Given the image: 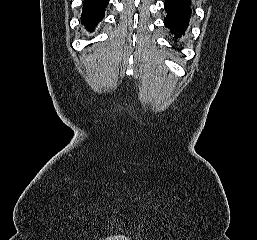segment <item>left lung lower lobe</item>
<instances>
[{
  "mask_svg": "<svg viewBox=\"0 0 257 240\" xmlns=\"http://www.w3.org/2000/svg\"><path fill=\"white\" fill-rule=\"evenodd\" d=\"M164 9L167 12L164 18L165 26L175 38L182 36L191 18V0H165Z\"/></svg>",
  "mask_w": 257,
  "mask_h": 240,
  "instance_id": "left-lung-lower-lobe-1",
  "label": "left lung lower lobe"
}]
</instances>
